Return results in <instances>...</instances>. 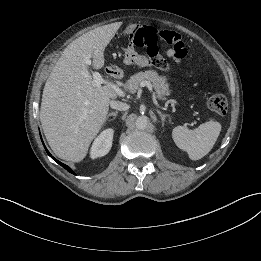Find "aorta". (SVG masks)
<instances>
[{
    "label": "aorta",
    "instance_id": "1",
    "mask_svg": "<svg viewBox=\"0 0 261 261\" xmlns=\"http://www.w3.org/2000/svg\"><path fill=\"white\" fill-rule=\"evenodd\" d=\"M149 124V118L147 116H139L135 121L136 128L139 130H144Z\"/></svg>",
    "mask_w": 261,
    "mask_h": 261
}]
</instances>
